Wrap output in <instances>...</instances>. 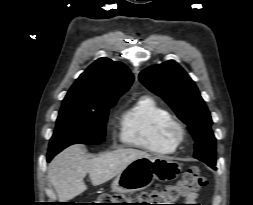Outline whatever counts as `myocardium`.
Here are the masks:
<instances>
[{
  "label": "myocardium",
  "mask_w": 253,
  "mask_h": 205,
  "mask_svg": "<svg viewBox=\"0 0 253 205\" xmlns=\"http://www.w3.org/2000/svg\"><path fill=\"white\" fill-rule=\"evenodd\" d=\"M164 136L169 142L179 145L186 137V130L182 123L173 120L165 127Z\"/></svg>",
  "instance_id": "1"
}]
</instances>
